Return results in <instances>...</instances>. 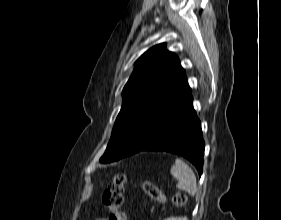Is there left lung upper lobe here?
Wrapping results in <instances>:
<instances>
[{
    "mask_svg": "<svg viewBox=\"0 0 281 220\" xmlns=\"http://www.w3.org/2000/svg\"><path fill=\"white\" fill-rule=\"evenodd\" d=\"M189 87L178 57L155 45L136 62L101 163L135 154L149 143L173 104Z\"/></svg>",
    "mask_w": 281,
    "mask_h": 220,
    "instance_id": "left-lung-upper-lobe-1",
    "label": "left lung upper lobe"
}]
</instances>
